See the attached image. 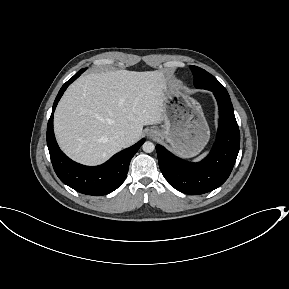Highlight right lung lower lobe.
Listing matches in <instances>:
<instances>
[{
  "mask_svg": "<svg viewBox=\"0 0 289 289\" xmlns=\"http://www.w3.org/2000/svg\"><path fill=\"white\" fill-rule=\"evenodd\" d=\"M84 72L81 69L60 89L47 125V145L51 162L59 179L74 190L93 196L106 195L116 190L125 180L131 158L145 139L115 154L106 163L89 167L69 159L58 147L53 131V113L67 87Z\"/></svg>",
  "mask_w": 289,
  "mask_h": 289,
  "instance_id": "right-lung-lower-lobe-1",
  "label": "right lung lower lobe"
}]
</instances>
